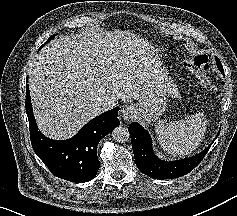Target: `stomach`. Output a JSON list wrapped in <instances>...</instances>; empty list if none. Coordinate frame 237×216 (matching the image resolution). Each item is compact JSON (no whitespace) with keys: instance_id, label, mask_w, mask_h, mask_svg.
Masks as SVG:
<instances>
[{"instance_id":"0dacf381","label":"stomach","mask_w":237,"mask_h":216,"mask_svg":"<svg viewBox=\"0 0 237 216\" xmlns=\"http://www.w3.org/2000/svg\"><path fill=\"white\" fill-rule=\"evenodd\" d=\"M166 105L165 92L157 89L147 99L137 104V118L145 124H150L162 115Z\"/></svg>"}]
</instances>
